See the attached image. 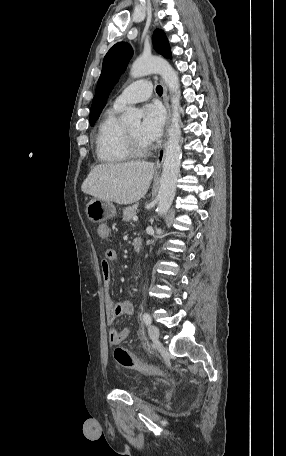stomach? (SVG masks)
<instances>
[{"instance_id":"obj_1","label":"stomach","mask_w":286,"mask_h":456,"mask_svg":"<svg viewBox=\"0 0 286 456\" xmlns=\"http://www.w3.org/2000/svg\"><path fill=\"white\" fill-rule=\"evenodd\" d=\"M86 215L94 223H101L116 215V208L110 201L92 199L86 206Z\"/></svg>"}]
</instances>
